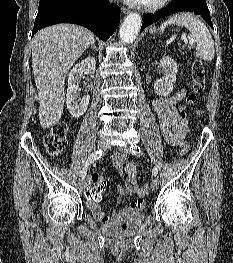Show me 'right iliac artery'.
<instances>
[{"label":"right iliac artery","instance_id":"1","mask_svg":"<svg viewBox=\"0 0 233 263\" xmlns=\"http://www.w3.org/2000/svg\"><path fill=\"white\" fill-rule=\"evenodd\" d=\"M104 154H105L104 151L98 150V151L89 155V157H88V159H87V161H86V163H85V165L81 171V178H83V179L85 178V176L87 174L88 166L91 163H93L95 160L100 159Z\"/></svg>","mask_w":233,"mask_h":263}]
</instances>
